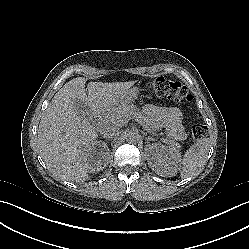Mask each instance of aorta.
<instances>
[{
  "label": "aorta",
  "instance_id": "762f6f07",
  "mask_svg": "<svg viewBox=\"0 0 249 249\" xmlns=\"http://www.w3.org/2000/svg\"><path fill=\"white\" fill-rule=\"evenodd\" d=\"M138 139H139V136L135 132H131L130 131V132H128L126 134V140H127V142L133 143V142H136Z\"/></svg>",
  "mask_w": 249,
  "mask_h": 249
}]
</instances>
